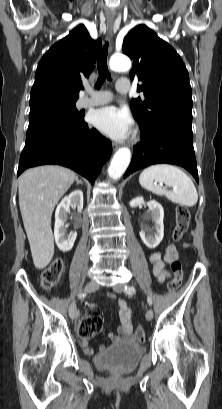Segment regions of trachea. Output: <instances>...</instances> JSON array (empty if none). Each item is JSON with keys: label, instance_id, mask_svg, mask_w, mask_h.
<instances>
[{"label": "trachea", "instance_id": "trachea-1", "mask_svg": "<svg viewBox=\"0 0 222 409\" xmlns=\"http://www.w3.org/2000/svg\"><path fill=\"white\" fill-rule=\"evenodd\" d=\"M107 50H108V42L105 43L104 47L100 51L97 60V69L99 73V77L97 83L95 84L96 88H99L102 83L104 82L105 78L110 80L111 75L107 68Z\"/></svg>", "mask_w": 222, "mask_h": 409}]
</instances>
